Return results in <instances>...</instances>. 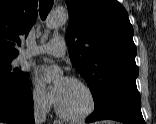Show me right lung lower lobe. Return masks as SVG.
<instances>
[{"label": "right lung lower lobe", "mask_w": 156, "mask_h": 124, "mask_svg": "<svg viewBox=\"0 0 156 124\" xmlns=\"http://www.w3.org/2000/svg\"><path fill=\"white\" fill-rule=\"evenodd\" d=\"M0 122L34 123L29 81L16 84L0 78Z\"/></svg>", "instance_id": "1"}]
</instances>
